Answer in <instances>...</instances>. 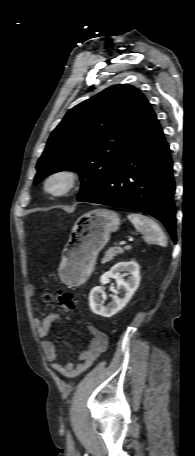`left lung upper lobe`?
<instances>
[{
    "mask_svg": "<svg viewBox=\"0 0 195 456\" xmlns=\"http://www.w3.org/2000/svg\"><path fill=\"white\" fill-rule=\"evenodd\" d=\"M151 110L135 87L111 86L68 111L50 135L37 163L34 184L58 171L81 177L82 201L95 193L112 172L127 141Z\"/></svg>",
    "mask_w": 195,
    "mask_h": 456,
    "instance_id": "1",
    "label": "left lung upper lobe"
}]
</instances>
